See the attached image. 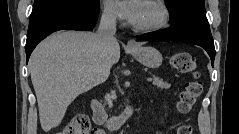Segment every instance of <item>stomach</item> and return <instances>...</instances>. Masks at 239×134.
Wrapping results in <instances>:
<instances>
[{
    "label": "stomach",
    "instance_id": "stomach-1",
    "mask_svg": "<svg viewBox=\"0 0 239 134\" xmlns=\"http://www.w3.org/2000/svg\"><path fill=\"white\" fill-rule=\"evenodd\" d=\"M130 53L136 58L141 64L148 68H158L162 64V55L154 47H142L130 49Z\"/></svg>",
    "mask_w": 239,
    "mask_h": 134
}]
</instances>
